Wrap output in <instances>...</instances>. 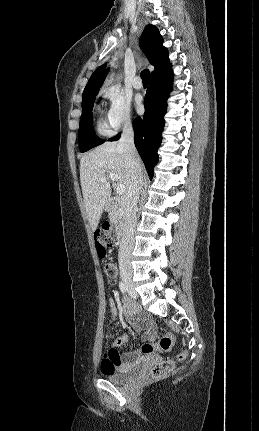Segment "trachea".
Listing matches in <instances>:
<instances>
[{
    "instance_id": "3493384b",
    "label": "trachea",
    "mask_w": 259,
    "mask_h": 431,
    "mask_svg": "<svg viewBox=\"0 0 259 431\" xmlns=\"http://www.w3.org/2000/svg\"><path fill=\"white\" fill-rule=\"evenodd\" d=\"M141 78H142L143 84H148L149 83L150 72H149L148 69H144L141 72Z\"/></svg>"
}]
</instances>
